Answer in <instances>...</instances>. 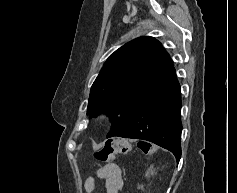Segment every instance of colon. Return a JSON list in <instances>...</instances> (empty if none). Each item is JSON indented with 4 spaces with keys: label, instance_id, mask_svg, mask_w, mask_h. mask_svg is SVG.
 <instances>
[{
    "label": "colon",
    "instance_id": "colon-1",
    "mask_svg": "<svg viewBox=\"0 0 237 193\" xmlns=\"http://www.w3.org/2000/svg\"><path fill=\"white\" fill-rule=\"evenodd\" d=\"M138 147L145 154H151L153 152L151 145L146 142H139ZM130 151V141L119 138L106 142L100 149L94 152V157L102 163L111 164L115 160L117 155L127 154Z\"/></svg>",
    "mask_w": 237,
    "mask_h": 193
}]
</instances>
